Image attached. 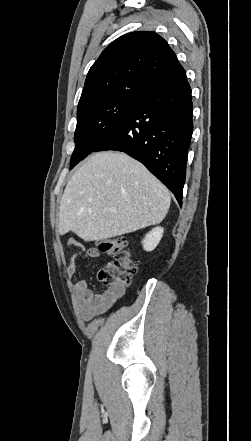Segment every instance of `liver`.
Returning a JSON list of instances; mask_svg holds the SVG:
<instances>
[{"label": "liver", "mask_w": 251, "mask_h": 441, "mask_svg": "<svg viewBox=\"0 0 251 441\" xmlns=\"http://www.w3.org/2000/svg\"><path fill=\"white\" fill-rule=\"evenodd\" d=\"M167 188L144 165L113 151L93 154L67 183L59 233L98 241L160 223L170 207Z\"/></svg>", "instance_id": "1"}]
</instances>
